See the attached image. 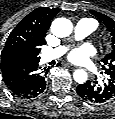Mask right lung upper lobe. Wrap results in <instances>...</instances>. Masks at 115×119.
<instances>
[{"instance_id":"obj_1","label":"right lung upper lobe","mask_w":115,"mask_h":119,"mask_svg":"<svg viewBox=\"0 0 115 119\" xmlns=\"http://www.w3.org/2000/svg\"><path fill=\"white\" fill-rule=\"evenodd\" d=\"M58 12L57 8L38 7L17 24L1 52V70L26 61L40 60L41 46L45 44L44 34Z\"/></svg>"}]
</instances>
